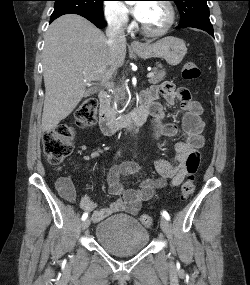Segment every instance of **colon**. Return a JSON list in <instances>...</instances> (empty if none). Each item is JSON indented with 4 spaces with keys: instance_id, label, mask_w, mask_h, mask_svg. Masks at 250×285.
I'll return each instance as SVG.
<instances>
[{
    "instance_id": "obj_1",
    "label": "colon",
    "mask_w": 250,
    "mask_h": 285,
    "mask_svg": "<svg viewBox=\"0 0 250 285\" xmlns=\"http://www.w3.org/2000/svg\"><path fill=\"white\" fill-rule=\"evenodd\" d=\"M182 77L185 80H195L200 77L199 67L191 61L184 63L182 67ZM97 103L94 99L84 101L78 108L75 116L77 127H90L96 121ZM74 127L61 125L47 131L43 137V149L46 160L51 164H59L64 161L73 151ZM201 161L199 150H193L186 159V180L181 185L180 196L187 199L195 191V175ZM141 224L150 228L153 225L151 216L144 214L140 217Z\"/></svg>"
}]
</instances>
